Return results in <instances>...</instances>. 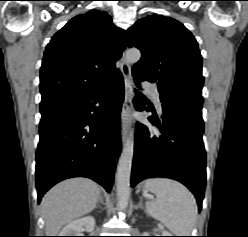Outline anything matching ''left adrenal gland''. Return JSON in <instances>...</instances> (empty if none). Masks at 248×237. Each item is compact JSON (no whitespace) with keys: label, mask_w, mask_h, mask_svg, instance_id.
Returning a JSON list of instances; mask_svg holds the SVG:
<instances>
[{"label":"left adrenal gland","mask_w":248,"mask_h":237,"mask_svg":"<svg viewBox=\"0 0 248 237\" xmlns=\"http://www.w3.org/2000/svg\"><path fill=\"white\" fill-rule=\"evenodd\" d=\"M137 208L143 209L142 198H140V202H139V204L137 205Z\"/></svg>","instance_id":"left-adrenal-gland-1"}]
</instances>
